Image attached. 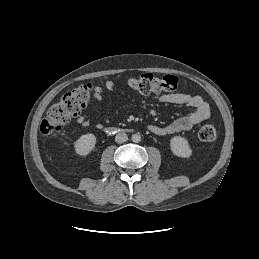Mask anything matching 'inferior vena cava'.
<instances>
[{
	"label": "inferior vena cava",
	"instance_id": "602c4592",
	"mask_svg": "<svg viewBox=\"0 0 259 259\" xmlns=\"http://www.w3.org/2000/svg\"><path fill=\"white\" fill-rule=\"evenodd\" d=\"M128 140V136L126 133H118L116 136H115V141L119 144L121 143H124Z\"/></svg>",
	"mask_w": 259,
	"mask_h": 259
}]
</instances>
